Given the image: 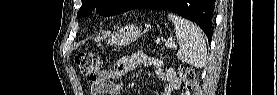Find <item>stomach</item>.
Wrapping results in <instances>:
<instances>
[{
  "instance_id": "stomach-1",
  "label": "stomach",
  "mask_w": 277,
  "mask_h": 95,
  "mask_svg": "<svg viewBox=\"0 0 277 95\" xmlns=\"http://www.w3.org/2000/svg\"><path fill=\"white\" fill-rule=\"evenodd\" d=\"M141 35V29L134 25H128L113 33L108 43L111 45L126 46L136 41Z\"/></svg>"
}]
</instances>
